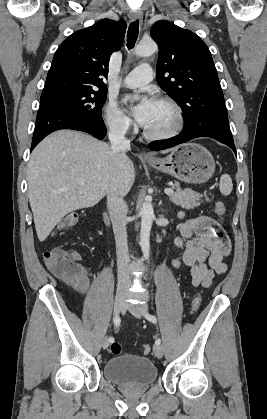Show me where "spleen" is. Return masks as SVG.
Returning a JSON list of instances; mask_svg holds the SVG:
<instances>
[{
    "instance_id": "1",
    "label": "spleen",
    "mask_w": 267,
    "mask_h": 419,
    "mask_svg": "<svg viewBox=\"0 0 267 419\" xmlns=\"http://www.w3.org/2000/svg\"><path fill=\"white\" fill-rule=\"evenodd\" d=\"M219 189L221 194L224 196H228L232 192V179L228 174H224L221 176Z\"/></svg>"
}]
</instances>
